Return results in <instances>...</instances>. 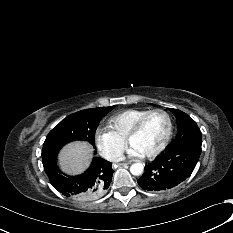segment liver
Returning <instances> with one entry per match:
<instances>
[{
    "label": "liver",
    "mask_w": 233,
    "mask_h": 233,
    "mask_svg": "<svg viewBox=\"0 0 233 233\" xmlns=\"http://www.w3.org/2000/svg\"><path fill=\"white\" fill-rule=\"evenodd\" d=\"M93 148L86 142L66 145L59 155L61 169L67 174H80L90 164Z\"/></svg>",
    "instance_id": "1"
}]
</instances>
